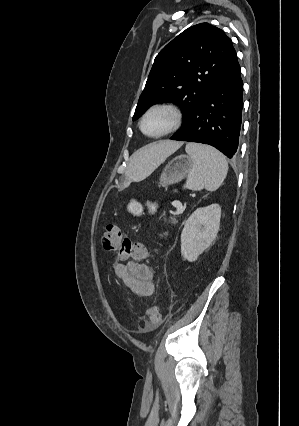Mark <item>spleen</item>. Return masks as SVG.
I'll return each mask as SVG.
<instances>
[{
  "instance_id": "1",
  "label": "spleen",
  "mask_w": 299,
  "mask_h": 426,
  "mask_svg": "<svg viewBox=\"0 0 299 426\" xmlns=\"http://www.w3.org/2000/svg\"><path fill=\"white\" fill-rule=\"evenodd\" d=\"M185 150L193 161V169L188 174L184 187L191 190L203 188L208 191L217 190L228 172V163L224 155L213 147L197 143L187 144ZM147 206L151 213L156 210V204L147 202ZM127 209L137 216L143 211L142 205L135 200H131Z\"/></svg>"
}]
</instances>
